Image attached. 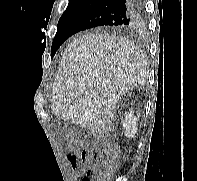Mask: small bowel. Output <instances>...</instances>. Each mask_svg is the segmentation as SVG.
<instances>
[{
	"label": "small bowel",
	"mask_w": 197,
	"mask_h": 181,
	"mask_svg": "<svg viewBox=\"0 0 197 181\" xmlns=\"http://www.w3.org/2000/svg\"><path fill=\"white\" fill-rule=\"evenodd\" d=\"M72 138H73V139H76L77 136H73ZM83 152H84V151H83ZM83 152L80 154V158H81L83 161H85L86 159L83 158ZM85 152H86V151H85ZM86 153H87V152H86ZM87 155H88V153H87ZM68 159H69L70 164H71L73 167H75L76 164H77V154H76V153H71V154H69V155H68Z\"/></svg>",
	"instance_id": "small-bowel-1"
}]
</instances>
